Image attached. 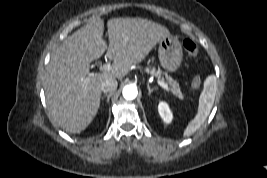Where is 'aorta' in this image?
Instances as JSON below:
<instances>
[{"label":"aorta","instance_id":"aorta-1","mask_svg":"<svg viewBox=\"0 0 267 178\" xmlns=\"http://www.w3.org/2000/svg\"><path fill=\"white\" fill-rule=\"evenodd\" d=\"M122 94L126 100H133L138 94L137 87L135 85H126L123 88Z\"/></svg>","mask_w":267,"mask_h":178}]
</instances>
